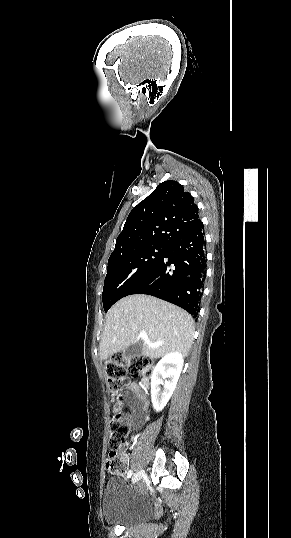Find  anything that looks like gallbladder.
Instances as JSON below:
<instances>
[{
	"label": "gallbladder",
	"instance_id": "obj_1",
	"mask_svg": "<svg viewBox=\"0 0 291 538\" xmlns=\"http://www.w3.org/2000/svg\"><path fill=\"white\" fill-rule=\"evenodd\" d=\"M142 352V345L140 343H135L131 346H129L125 352H124V356L126 357H135V356H140Z\"/></svg>",
	"mask_w": 291,
	"mask_h": 538
}]
</instances>
